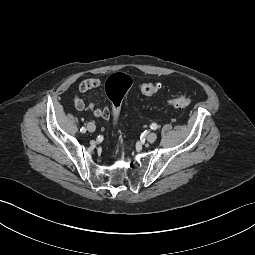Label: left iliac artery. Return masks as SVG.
Here are the masks:
<instances>
[{
  "instance_id": "obj_1",
  "label": "left iliac artery",
  "mask_w": 255,
  "mask_h": 255,
  "mask_svg": "<svg viewBox=\"0 0 255 255\" xmlns=\"http://www.w3.org/2000/svg\"><path fill=\"white\" fill-rule=\"evenodd\" d=\"M150 128H152V129H157L158 128V126H157V124H155V123H153V124H150Z\"/></svg>"
}]
</instances>
